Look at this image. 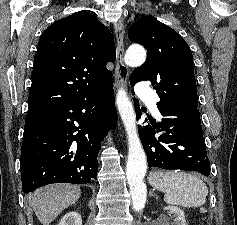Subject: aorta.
Returning a JSON list of instances; mask_svg holds the SVG:
<instances>
[{
    "instance_id": "aorta-1",
    "label": "aorta",
    "mask_w": 237,
    "mask_h": 225,
    "mask_svg": "<svg viewBox=\"0 0 237 225\" xmlns=\"http://www.w3.org/2000/svg\"><path fill=\"white\" fill-rule=\"evenodd\" d=\"M146 59V51L139 45H131L126 51L124 61L127 65L140 66ZM116 106L126 129L128 138V159L126 177L130 188L133 208L141 209L146 201L147 189L143 179L147 170L146 154L136 129V117L133 105L122 88L116 95Z\"/></svg>"
}]
</instances>
